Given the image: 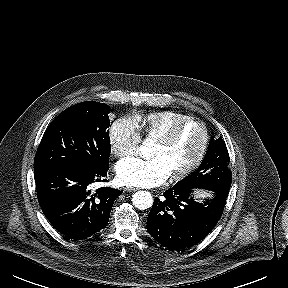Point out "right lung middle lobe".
<instances>
[{"label": "right lung middle lobe", "instance_id": "obj_1", "mask_svg": "<svg viewBox=\"0 0 288 288\" xmlns=\"http://www.w3.org/2000/svg\"><path fill=\"white\" fill-rule=\"evenodd\" d=\"M110 110L104 103L87 101L61 112L43 135L34 171L67 168L91 173L109 165Z\"/></svg>", "mask_w": 288, "mask_h": 288}]
</instances>
